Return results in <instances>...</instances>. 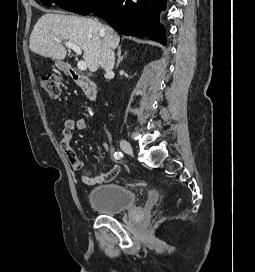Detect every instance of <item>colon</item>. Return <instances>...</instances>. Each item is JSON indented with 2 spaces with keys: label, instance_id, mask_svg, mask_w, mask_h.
Returning <instances> with one entry per match:
<instances>
[{
  "label": "colon",
  "instance_id": "obj_1",
  "mask_svg": "<svg viewBox=\"0 0 255 272\" xmlns=\"http://www.w3.org/2000/svg\"><path fill=\"white\" fill-rule=\"evenodd\" d=\"M41 88L52 99H57L60 95V78L56 73H47L41 77Z\"/></svg>",
  "mask_w": 255,
  "mask_h": 272
}]
</instances>
